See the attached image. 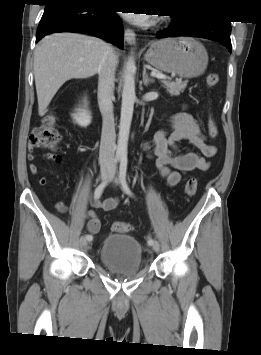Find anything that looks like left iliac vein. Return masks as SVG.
Segmentation results:
<instances>
[{
    "label": "left iliac vein",
    "instance_id": "1",
    "mask_svg": "<svg viewBox=\"0 0 261 355\" xmlns=\"http://www.w3.org/2000/svg\"><path fill=\"white\" fill-rule=\"evenodd\" d=\"M113 182H114V183H118V182H119L118 178L115 177V178L113 179ZM152 247H153L154 251H156V252H158L159 249H160L159 243H158L157 241L154 242V244L152 245Z\"/></svg>",
    "mask_w": 261,
    "mask_h": 355
}]
</instances>
